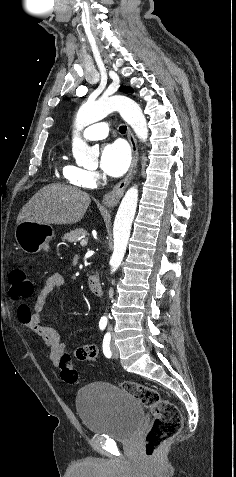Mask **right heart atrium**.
<instances>
[{
	"mask_svg": "<svg viewBox=\"0 0 236 477\" xmlns=\"http://www.w3.org/2000/svg\"><path fill=\"white\" fill-rule=\"evenodd\" d=\"M64 176L69 182L77 183L81 187L93 186L101 179L100 173L92 170H84L81 174L67 171L64 172Z\"/></svg>",
	"mask_w": 236,
	"mask_h": 477,
	"instance_id": "right-heart-atrium-1",
	"label": "right heart atrium"
}]
</instances>
